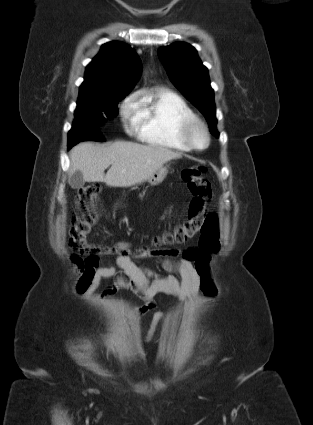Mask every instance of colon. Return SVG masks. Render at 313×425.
I'll use <instances>...</instances> for the list:
<instances>
[{
    "instance_id": "5ec220e1",
    "label": "colon",
    "mask_w": 313,
    "mask_h": 425,
    "mask_svg": "<svg viewBox=\"0 0 313 425\" xmlns=\"http://www.w3.org/2000/svg\"><path fill=\"white\" fill-rule=\"evenodd\" d=\"M205 168L195 165L183 169L181 178L192 195L187 219L174 229L155 237L154 245L183 243L200 232L199 246L183 251V257L192 262L200 277V292L213 297L217 287L210 275V254L219 250V221L216 215H207L205 204L212 196V185L204 175ZM100 187L87 185L79 191V213L73 221L70 231V247L72 259L81 273L91 270L100 256L121 255L125 251L107 245H95L88 242V236L99 216ZM157 252V250H153Z\"/></svg>"
}]
</instances>
